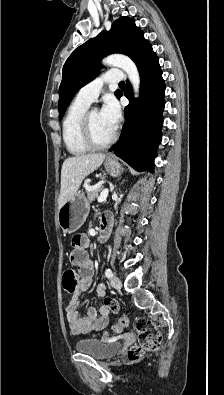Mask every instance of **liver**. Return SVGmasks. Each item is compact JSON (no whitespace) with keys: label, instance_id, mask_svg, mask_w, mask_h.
I'll use <instances>...</instances> for the list:
<instances>
[{"label":"liver","instance_id":"liver-1","mask_svg":"<svg viewBox=\"0 0 224 395\" xmlns=\"http://www.w3.org/2000/svg\"><path fill=\"white\" fill-rule=\"evenodd\" d=\"M105 157L102 153H90L68 157L64 161L61 169L59 208L77 193L84 178L100 167Z\"/></svg>","mask_w":224,"mask_h":395}]
</instances>
